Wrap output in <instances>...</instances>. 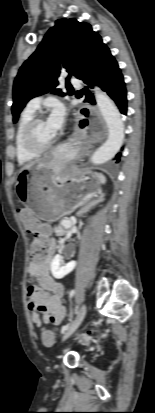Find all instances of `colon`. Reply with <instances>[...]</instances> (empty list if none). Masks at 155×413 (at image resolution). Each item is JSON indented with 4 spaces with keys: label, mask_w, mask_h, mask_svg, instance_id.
<instances>
[{
    "label": "colon",
    "mask_w": 155,
    "mask_h": 413,
    "mask_svg": "<svg viewBox=\"0 0 155 413\" xmlns=\"http://www.w3.org/2000/svg\"><path fill=\"white\" fill-rule=\"evenodd\" d=\"M33 232L36 234V238L31 246V257L33 260L41 262L47 254L46 244L45 241L37 235L38 231ZM41 339L43 344L49 346L54 342V335L50 330H45L42 332Z\"/></svg>",
    "instance_id": "obj_1"
}]
</instances>
